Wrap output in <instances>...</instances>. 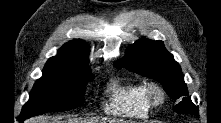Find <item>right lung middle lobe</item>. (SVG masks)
I'll return each instance as SVG.
<instances>
[{"label": "right lung middle lobe", "instance_id": "right-lung-middle-lobe-1", "mask_svg": "<svg viewBox=\"0 0 221 123\" xmlns=\"http://www.w3.org/2000/svg\"><path fill=\"white\" fill-rule=\"evenodd\" d=\"M93 78L89 68L46 64L43 76L35 82L21 115L30 118L47 111H67L80 106L84 101L86 84Z\"/></svg>", "mask_w": 221, "mask_h": 123}]
</instances>
